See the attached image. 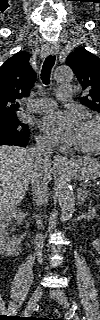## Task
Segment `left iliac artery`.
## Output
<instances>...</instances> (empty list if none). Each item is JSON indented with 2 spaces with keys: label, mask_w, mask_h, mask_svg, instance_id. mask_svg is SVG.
<instances>
[{
  "label": "left iliac artery",
  "mask_w": 100,
  "mask_h": 320,
  "mask_svg": "<svg viewBox=\"0 0 100 320\" xmlns=\"http://www.w3.org/2000/svg\"><path fill=\"white\" fill-rule=\"evenodd\" d=\"M72 299V303H73V305H72V307H73V309L74 310H76L77 309V303H76V301L74 300V298H71ZM83 320H85V317H83Z\"/></svg>",
  "instance_id": "44dca946"
}]
</instances>
